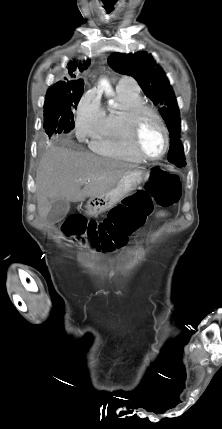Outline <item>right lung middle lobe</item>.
Segmentation results:
<instances>
[{"label":"right lung middle lobe","instance_id":"1","mask_svg":"<svg viewBox=\"0 0 222 429\" xmlns=\"http://www.w3.org/2000/svg\"><path fill=\"white\" fill-rule=\"evenodd\" d=\"M84 84L67 91L47 92L44 103V129L50 138L70 132L74 128V114L83 94Z\"/></svg>","mask_w":222,"mask_h":429}]
</instances>
